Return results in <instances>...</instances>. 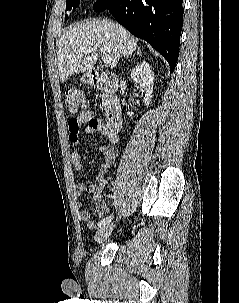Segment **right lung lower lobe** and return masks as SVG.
Masks as SVG:
<instances>
[{
    "label": "right lung lower lobe",
    "instance_id": "obj_1",
    "mask_svg": "<svg viewBox=\"0 0 239 303\" xmlns=\"http://www.w3.org/2000/svg\"><path fill=\"white\" fill-rule=\"evenodd\" d=\"M182 3L183 0H105L94 10L108 9L118 23L164 56L173 72L179 56Z\"/></svg>",
    "mask_w": 239,
    "mask_h": 303
}]
</instances>
